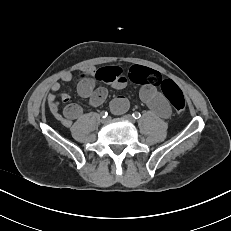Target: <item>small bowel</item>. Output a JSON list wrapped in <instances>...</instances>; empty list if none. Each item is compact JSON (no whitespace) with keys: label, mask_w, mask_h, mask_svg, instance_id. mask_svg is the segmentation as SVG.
Returning a JSON list of instances; mask_svg holds the SVG:
<instances>
[{"label":"small bowel","mask_w":231,"mask_h":231,"mask_svg":"<svg viewBox=\"0 0 231 231\" xmlns=\"http://www.w3.org/2000/svg\"><path fill=\"white\" fill-rule=\"evenodd\" d=\"M72 78V73H63L59 81L51 84L52 92L47 95L48 107L51 114L66 128L71 127L73 121L79 119L83 113L81 106L70 103L69 94L60 92L62 87L61 81L68 82ZM127 81L128 75L120 67H89L83 70L77 85V91L82 98L88 99L89 103L96 107L101 105L108 95L105 88L96 87L97 82H106L116 89H122L126 86ZM139 96L149 109L158 116L163 118L170 116V105L164 94L155 86L143 85L139 91ZM57 98H60L66 104L62 112L60 111V103ZM110 107L115 114H121L129 108V103L126 98L118 97L111 102Z\"/></svg>","instance_id":"1"}]
</instances>
